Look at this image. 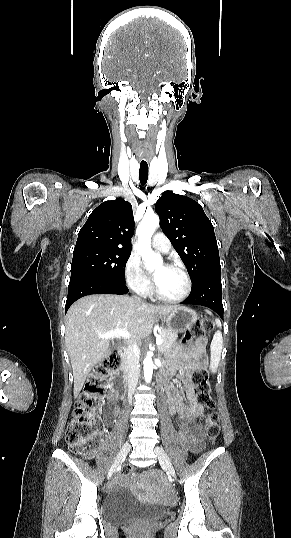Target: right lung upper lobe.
Here are the masks:
<instances>
[{
	"instance_id": "right-lung-upper-lobe-1",
	"label": "right lung upper lobe",
	"mask_w": 291,
	"mask_h": 538,
	"mask_svg": "<svg viewBox=\"0 0 291 538\" xmlns=\"http://www.w3.org/2000/svg\"><path fill=\"white\" fill-rule=\"evenodd\" d=\"M134 231L132 206L122 198L105 201L81 228L74 250L88 247L131 249Z\"/></svg>"
}]
</instances>
